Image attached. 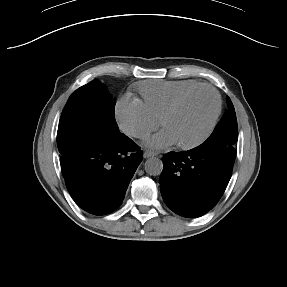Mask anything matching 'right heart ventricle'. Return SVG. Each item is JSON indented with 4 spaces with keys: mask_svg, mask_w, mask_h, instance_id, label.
<instances>
[{
    "mask_svg": "<svg viewBox=\"0 0 287 287\" xmlns=\"http://www.w3.org/2000/svg\"><path fill=\"white\" fill-rule=\"evenodd\" d=\"M200 85L194 80L147 81L139 85V92L149 112L158 120L187 90Z\"/></svg>",
    "mask_w": 287,
    "mask_h": 287,
    "instance_id": "obj_1",
    "label": "right heart ventricle"
}]
</instances>
